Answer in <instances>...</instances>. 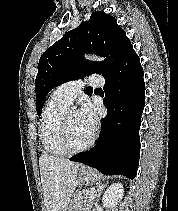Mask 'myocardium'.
<instances>
[{"instance_id": "f54148a6", "label": "myocardium", "mask_w": 178, "mask_h": 211, "mask_svg": "<svg viewBox=\"0 0 178 211\" xmlns=\"http://www.w3.org/2000/svg\"><path fill=\"white\" fill-rule=\"evenodd\" d=\"M69 113H70V110H67L63 114V117H62V120H61L59 143H60V145H61V147H62V149L64 150L65 153H67V154H77V153L83 152V151L89 149L90 147H92V145L95 142L97 132L94 129L91 138L83 146H81L79 148L71 147V145L69 143V135H68V116H69Z\"/></svg>"}]
</instances>
